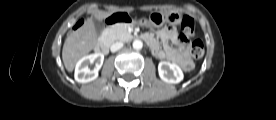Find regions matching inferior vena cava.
Instances as JSON below:
<instances>
[{
    "instance_id": "1",
    "label": "inferior vena cava",
    "mask_w": 276,
    "mask_h": 120,
    "mask_svg": "<svg viewBox=\"0 0 276 120\" xmlns=\"http://www.w3.org/2000/svg\"><path fill=\"white\" fill-rule=\"evenodd\" d=\"M123 47V43L122 42H116L114 44L111 45V52H116L118 51L119 49H121Z\"/></svg>"
}]
</instances>
